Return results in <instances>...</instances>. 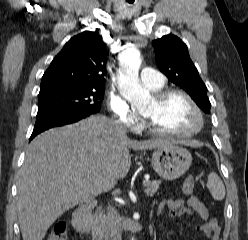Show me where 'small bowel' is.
Returning a JSON list of instances; mask_svg holds the SVG:
<instances>
[{
  "instance_id": "1",
  "label": "small bowel",
  "mask_w": 248,
  "mask_h": 240,
  "mask_svg": "<svg viewBox=\"0 0 248 240\" xmlns=\"http://www.w3.org/2000/svg\"><path fill=\"white\" fill-rule=\"evenodd\" d=\"M165 207L168 208L167 218L198 215L203 222L196 227V230L204 233L210 240H219L221 229L218 220L211 216L206 205L198 198L191 196L187 199H165L158 205V213H161Z\"/></svg>"
}]
</instances>
